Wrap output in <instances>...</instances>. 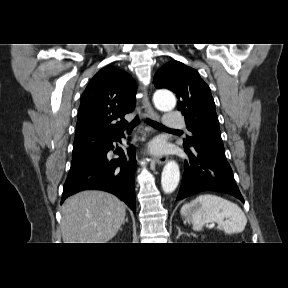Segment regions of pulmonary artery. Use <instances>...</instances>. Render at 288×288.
<instances>
[{"mask_svg": "<svg viewBox=\"0 0 288 288\" xmlns=\"http://www.w3.org/2000/svg\"><path fill=\"white\" fill-rule=\"evenodd\" d=\"M166 128L170 129H181L184 127V119L177 112H167L165 114V123Z\"/></svg>", "mask_w": 288, "mask_h": 288, "instance_id": "1", "label": "pulmonary artery"}]
</instances>
